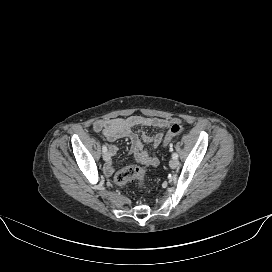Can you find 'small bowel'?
Listing matches in <instances>:
<instances>
[{"label":"small bowel","instance_id":"c3829d8e","mask_svg":"<svg viewBox=\"0 0 272 272\" xmlns=\"http://www.w3.org/2000/svg\"><path fill=\"white\" fill-rule=\"evenodd\" d=\"M178 120L172 118H158V117H145V116H129L125 118H112L107 120L96 121L93 125V130L101 133L104 137L114 142L118 139L127 138L130 140V152L134 159L147 166H156L159 163L158 158L152 153L145 150L147 144L152 147H157L163 140L164 134L157 132L153 136H147L144 131L135 132L133 128L139 127H154L161 130L169 129ZM118 151L116 146L110 147V152L115 155ZM106 172L111 174L113 168L111 165L106 166Z\"/></svg>","mask_w":272,"mask_h":272}]
</instances>
